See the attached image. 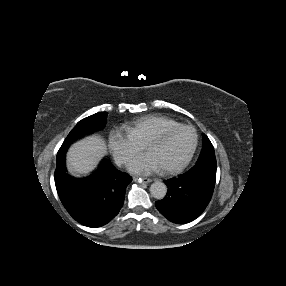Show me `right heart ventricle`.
<instances>
[{
    "label": "right heart ventricle",
    "mask_w": 286,
    "mask_h": 286,
    "mask_svg": "<svg viewBox=\"0 0 286 286\" xmlns=\"http://www.w3.org/2000/svg\"><path fill=\"white\" fill-rule=\"evenodd\" d=\"M180 125L181 123L169 117L148 115L127 124L126 129L139 143L145 144L150 137Z\"/></svg>",
    "instance_id": "e07e8e85"
}]
</instances>
